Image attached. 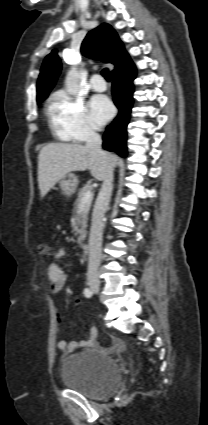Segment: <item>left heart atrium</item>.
I'll use <instances>...</instances> for the list:
<instances>
[{"label":"left heart atrium","mask_w":208,"mask_h":425,"mask_svg":"<svg viewBox=\"0 0 208 425\" xmlns=\"http://www.w3.org/2000/svg\"><path fill=\"white\" fill-rule=\"evenodd\" d=\"M114 107L105 96H94L90 102V115L97 126L104 125L114 115Z\"/></svg>","instance_id":"39dd6f15"}]
</instances>
